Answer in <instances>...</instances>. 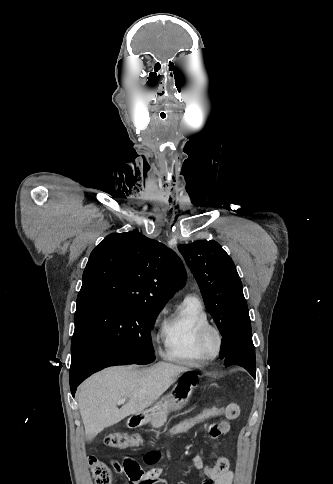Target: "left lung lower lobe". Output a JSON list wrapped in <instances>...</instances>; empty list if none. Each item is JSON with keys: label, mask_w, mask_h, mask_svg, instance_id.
Returning <instances> with one entry per match:
<instances>
[{"label": "left lung lower lobe", "mask_w": 333, "mask_h": 484, "mask_svg": "<svg viewBox=\"0 0 333 484\" xmlns=\"http://www.w3.org/2000/svg\"><path fill=\"white\" fill-rule=\"evenodd\" d=\"M224 363L226 366L231 364L243 366L255 377V349L250 320L243 323L231 338Z\"/></svg>", "instance_id": "0a47b994"}]
</instances>
